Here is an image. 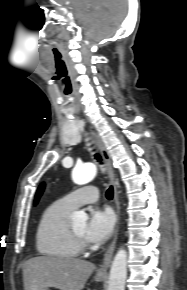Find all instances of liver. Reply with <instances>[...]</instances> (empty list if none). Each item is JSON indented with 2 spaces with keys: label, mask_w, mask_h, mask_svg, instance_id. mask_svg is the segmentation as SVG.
Returning a JSON list of instances; mask_svg holds the SVG:
<instances>
[{
  "label": "liver",
  "mask_w": 187,
  "mask_h": 290,
  "mask_svg": "<svg viewBox=\"0 0 187 290\" xmlns=\"http://www.w3.org/2000/svg\"><path fill=\"white\" fill-rule=\"evenodd\" d=\"M95 270L91 262L72 257L38 256L23 264L25 290H82Z\"/></svg>",
  "instance_id": "liver-1"
}]
</instances>
